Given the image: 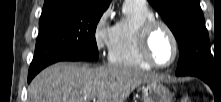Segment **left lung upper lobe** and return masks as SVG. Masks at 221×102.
Here are the masks:
<instances>
[{
    "label": "left lung upper lobe",
    "instance_id": "left-lung-upper-lobe-1",
    "mask_svg": "<svg viewBox=\"0 0 221 102\" xmlns=\"http://www.w3.org/2000/svg\"><path fill=\"white\" fill-rule=\"evenodd\" d=\"M173 32L180 51L176 75H198L213 78L208 32L199 0H149Z\"/></svg>",
    "mask_w": 221,
    "mask_h": 102
}]
</instances>
